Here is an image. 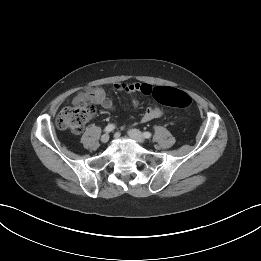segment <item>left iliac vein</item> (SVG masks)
Returning a JSON list of instances; mask_svg holds the SVG:
<instances>
[{"label":"left iliac vein","instance_id":"1","mask_svg":"<svg viewBox=\"0 0 261 261\" xmlns=\"http://www.w3.org/2000/svg\"><path fill=\"white\" fill-rule=\"evenodd\" d=\"M128 135L134 139L135 141H137L138 143H144L145 142V137L143 136V134L137 130V129H130L128 131Z\"/></svg>","mask_w":261,"mask_h":261}]
</instances>
